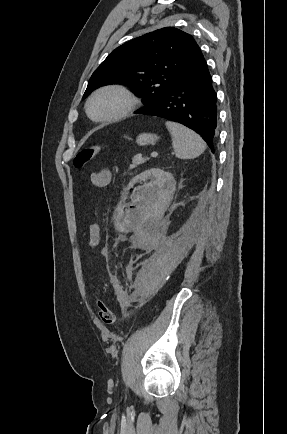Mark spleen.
Here are the masks:
<instances>
[{
  "label": "spleen",
  "mask_w": 287,
  "mask_h": 434,
  "mask_svg": "<svg viewBox=\"0 0 287 434\" xmlns=\"http://www.w3.org/2000/svg\"><path fill=\"white\" fill-rule=\"evenodd\" d=\"M166 127L171 133L172 146L177 158L193 159L205 151V142L194 131L171 121L166 122Z\"/></svg>",
  "instance_id": "obj_1"
}]
</instances>
